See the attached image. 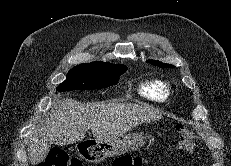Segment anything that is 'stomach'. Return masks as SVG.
<instances>
[{
	"label": "stomach",
	"instance_id": "0dacf381",
	"mask_svg": "<svg viewBox=\"0 0 231 166\" xmlns=\"http://www.w3.org/2000/svg\"><path fill=\"white\" fill-rule=\"evenodd\" d=\"M142 133H129L116 139H88L76 144L81 158L89 162H99L106 157H113L128 151H135L145 143Z\"/></svg>",
	"mask_w": 231,
	"mask_h": 166
}]
</instances>
